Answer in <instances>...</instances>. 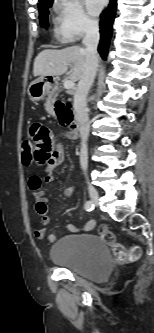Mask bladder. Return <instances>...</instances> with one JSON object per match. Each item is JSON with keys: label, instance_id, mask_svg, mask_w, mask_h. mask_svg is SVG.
<instances>
[{"label": "bladder", "instance_id": "1", "mask_svg": "<svg viewBox=\"0 0 154 333\" xmlns=\"http://www.w3.org/2000/svg\"><path fill=\"white\" fill-rule=\"evenodd\" d=\"M49 258L68 271L94 280L106 279L111 271L108 245L91 232L61 237L51 246Z\"/></svg>", "mask_w": 154, "mask_h": 333}]
</instances>
